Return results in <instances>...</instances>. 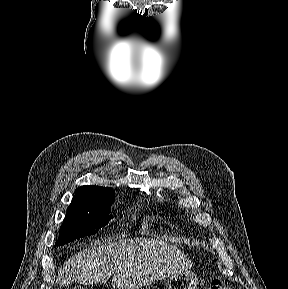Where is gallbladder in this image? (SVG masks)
<instances>
[{
	"label": "gallbladder",
	"mask_w": 288,
	"mask_h": 289,
	"mask_svg": "<svg viewBox=\"0 0 288 289\" xmlns=\"http://www.w3.org/2000/svg\"><path fill=\"white\" fill-rule=\"evenodd\" d=\"M74 282H76V281H74ZM72 283H73V282H72ZM69 284H71V283H69V282L67 281V282L63 283L62 285H63V286H67V285H69Z\"/></svg>",
	"instance_id": "1"
}]
</instances>
